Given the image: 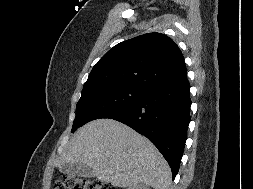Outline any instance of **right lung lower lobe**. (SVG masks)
Returning a JSON list of instances; mask_svg holds the SVG:
<instances>
[{"mask_svg":"<svg viewBox=\"0 0 253 189\" xmlns=\"http://www.w3.org/2000/svg\"><path fill=\"white\" fill-rule=\"evenodd\" d=\"M187 78L147 90L137 103L105 118L122 122L145 135L178 173L190 123L191 99Z\"/></svg>","mask_w":253,"mask_h":189,"instance_id":"1","label":"right lung lower lobe"}]
</instances>
